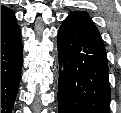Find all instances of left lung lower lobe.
I'll list each match as a JSON object with an SVG mask.
<instances>
[{
  "instance_id": "0a47b994",
  "label": "left lung lower lobe",
  "mask_w": 121,
  "mask_h": 113,
  "mask_svg": "<svg viewBox=\"0 0 121 113\" xmlns=\"http://www.w3.org/2000/svg\"><path fill=\"white\" fill-rule=\"evenodd\" d=\"M58 51L65 67L59 113H110L108 61L98 30L68 16L58 32Z\"/></svg>"
}]
</instances>
